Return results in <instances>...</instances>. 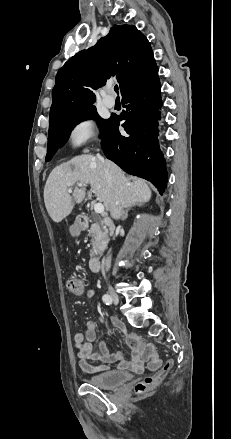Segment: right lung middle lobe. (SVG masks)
I'll return each instance as SVG.
<instances>
[{
  "instance_id": "obj_1",
  "label": "right lung middle lobe",
  "mask_w": 231,
  "mask_h": 439,
  "mask_svg": "<svg viewBox=\"0 0 231 439\" xmlns=\"http://www.w3.org/2000/svg\"><path fill=\"white\" fill-rule=\"evenodd\" d=\"M92 118L97 120L100 127V137H102L109 124V119L105 120L100 118L95 107L84 110L49 126L47 155L45 160H51L57 149L66 143L71 131L78 123Z\"/></svg>"
}]
</instances>
